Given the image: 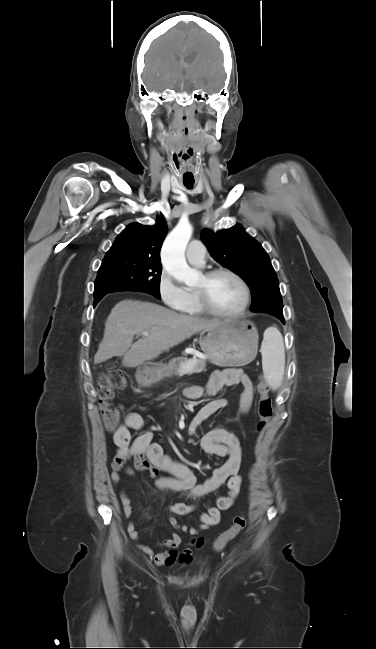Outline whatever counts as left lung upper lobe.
Masks as SVG:
<instances>
[{
	"label": "left lung upper lobe",
	"mask_w": 376,
	"mask_h": 649,
	"mask_svg": "<svg viewBox=\"0 0 376 649\" xmlns=\"http://www.w3.org/2000/svg\"><path fill=\"white\" fill-rule=\"evenodd\" d=\"M201 238L217 262L247 283L252 293L251 311L284 319L278 278L260 243L238 224L217 233L204 229Z\"/></svg>",
	"instance_id": "obj_1"
}]
</instances>
